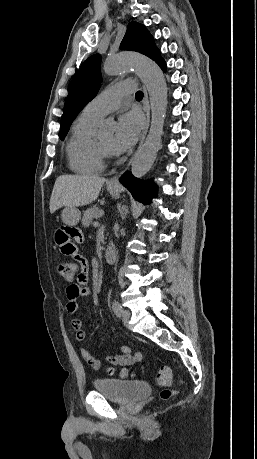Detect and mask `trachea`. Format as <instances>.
<instances>
[{
	"mask_svg": "<svg viewBox=\"0 0 257 459\" xmlns=\"http://www.w3.org/2000/svg\"><path fill=\"white\" fill-rule=\"evenodd\" d=\"M135 97L137 99H142L143 98V92L142 91H137L136 94H135Z\"/></svg>",
	"mask_w": 257,
	"mask_h": 459,
	"instance_id": "trachea-1",
	"label": "trachea"
}]
</instances>
